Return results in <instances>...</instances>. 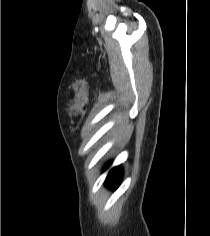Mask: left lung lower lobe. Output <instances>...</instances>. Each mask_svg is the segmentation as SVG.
I'll return each instance as SVG.
<instances>
[{
  "mask_svg": "<svg viewBox=\"0 0 210 236\" xmlns=\"http://www.w3.org/2000/svg\"><path fill=\"white\" fill-rule=\"evenodd\" d=\"M122 178V168L120 166L113 168L107 178H106V185L110 188L115 189L118 187Z\"/></svg>",
  "mask_w": 210,
  "mask_h": 236,
  "instance_id": "obj_1",
  "label": "left lung lower lobe"
}]
</instances>
